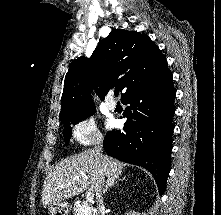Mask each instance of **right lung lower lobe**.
Wrapping results in <instances>:
<instances>
[{
  "label": "right lung lower lobe",
  "mask_w": 221,
  "mask_h": 215,
  "mask_svg": "<svg viewBox=\"0 0 221 215\" xmlns=\"http://www.w3.org/2000/svg\"><path fill=\"white\" fill-rule=\"evenodd\" d=\"M175 90L169 69L122 99L129 105L122 131L108 133L103 141L109 156L142 166L154 176L160 194L164 193L170 169Z\"/></svg>",
  "instance_id": "right-lung-lower-lobe-1"
}]
</instances>
